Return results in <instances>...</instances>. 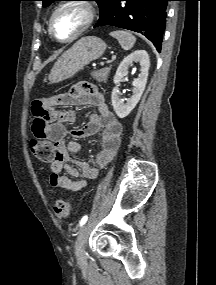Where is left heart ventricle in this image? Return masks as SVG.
<instances>
[{"mask_svg":"<svg viewBox=\"0 0 216 285\" xmlns=\"http://www.w3.org/2000/svg\"><path fill=\"white\" fill-rule=\"evenodd\" d=\"M85 12L79 7H66L57 13L53 20V33L57 38L65 39L74 34L84 23Z\"/></svg>","mask_w":216,"mask_h":285,"instance_id":"obj_1","label":"left heart ventricle"}]
</instances>
